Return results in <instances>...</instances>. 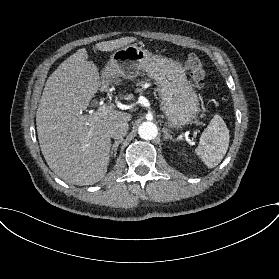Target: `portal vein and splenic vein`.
Masks as SVG:
<instances>
[{"label": "portal vein and splenic vein", "instance_id": "1", "mask_svg": "<svg viewBox=\"0 0 279 279\" xmlns=\"http://www.w3.org/2000/svg\"><path fill=\"white\" fill-rule=\"evenodd\" d=\"M118 107L122 110L126 109L125 105H123V104H121V106H118ZM110 112H111V109H109L105 105H102V106L99 107V109L96 113L99 117H102L103 115H107Z\"/></svg>", "mask_w": 279, "mask_h": 279}]
</instances>
